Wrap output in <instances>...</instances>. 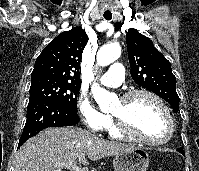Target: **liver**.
I'll list each match as a JSON object with an SVG mask.
<instances>
[{"label":"liver","mask_w":199,"mask_h":171,"mask_svg":"<svg viewBox=\"0 0 199 171\" xmlns=\"http://www.w3.org/2000/svg\"><path fill=\"white\" fill-rule=\"evenodd\" d=\"M134 149L105 141L80 128H47L21 146L13 165L14 171H61V164L78 160L88 165L87 157L99 160Z\"/></svg>","instance_id":"obj_1"}]
</instances>
